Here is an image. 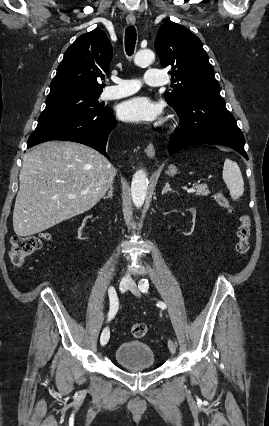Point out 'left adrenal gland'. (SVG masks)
I'll return each mask as SVG.
<instances>
[{"mask_svg":"<svg viewBox=\"0 0 269 426\" xmlns=\"http://www.w3.org/2000/svg\"><path fill=\"white\" fill-rule=\"evenodd\" d=\"M167 192H175L174 190H172V189L170 188L169 183H166L165 187H164V188H163V190H162V194H165V193H167Z\"/></svg>","mask_w":269,"mask_h":426,"instance_id":"left-adrenal-gland-1","label":"left adrenal gland"}]
</instances>
